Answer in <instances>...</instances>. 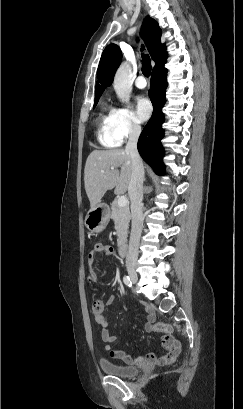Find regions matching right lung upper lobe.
Segmentation results:
<instances>
[{
	"label": "right lung upper lobe",
	"mask_w": 243,
	"mask_h": 409,
	"mask_svg": "<svg viewBox=\"0 0 243 409\" xmlns=\"http://www.w3.org/2000/svg\"><path fill=\"white\" fill-rule=\"evenodd\" d=\"M141 36L143 37L148 51L156 64L162 60L167 53L164 44H161V29L158 23L147 16L142 24ZM122 60V52L115 44L108 45L101 56L97 69L98 81L96 83L95 98H100L105 87L112 84L117 68Z\"/></svg>",
	"instance_id": "obj_1"
}]
</instances>
